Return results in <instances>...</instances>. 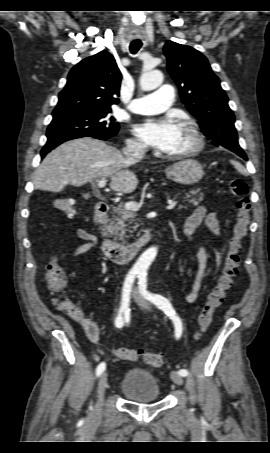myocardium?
<instances>
[{
	"label": "myocardium",
	"instance_id": "obj_1",
	"mask_svg": "<svg viewBox=\"0 0 270 453\" xmlns=\"http://www.w3.org/2000/svg\"><path fill=\"white\" fill-rule=\"evenodd\" d=\"M179 125L186 127L192 136L193 145L183 151L177 153H167L165 156L171 159L188 158L198 154L204 147V138L200 132L198 125L190 118H182L179 121Z\"/></svg>",
	"mask_w": 270,
	"mask_h": 453
}]
</instances>
